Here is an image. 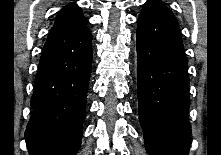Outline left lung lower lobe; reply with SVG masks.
I'll use <instances>...</instances> for the list:
<instances>
[{"label":"left lung lower lobe","mask_w":221,"mask_h":155,"mask_svg":"<svg viewBox=\"0 0 221 155\" xmlns=\"http://www.w3.org/2000/svg\"><path fill=\"white\" fill-rule=\"evenodd\" d=\"M137 26L140 123L149 155H188L191 126L187 59L173 13L145 3Z\"/></svg>","instance_id":"1"}]
</instances>
